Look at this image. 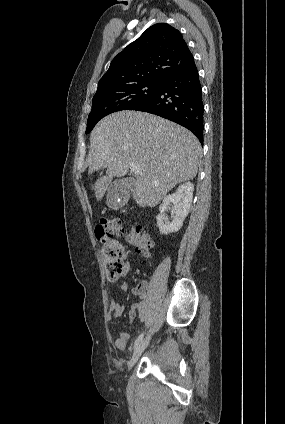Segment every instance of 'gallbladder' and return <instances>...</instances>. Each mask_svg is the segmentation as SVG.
I'll return each instance as SVG.
<instances>
[{"instance_id":"1","label":"gallbladder","mask_w":285,"mask_h":424,"mask_svg":"<svg viewBox=\"0 0 285 424\" xmlns=\"http://www.w3.org/2000/svg\"><path fill=\"white\" fill-rule=\"evenodd\" d=\"M117 183L121 185L122 184V181L118 180Z\"/></svg>"}]
</instances>
